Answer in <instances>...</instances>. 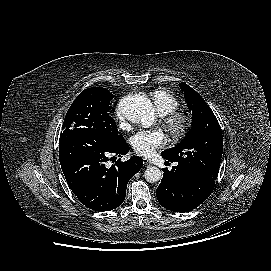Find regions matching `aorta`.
Instances as JSON below:
<instances>
[{"instance_id": "aorta-1", "label": "aorta", "mask_w": 271, "mask_h": 271, "mask_svg": "<svg viewBox=\"0 0 271 271\" xmlns=\"http://www.w3.org/2000/svg\"><path fill=\"white\" fill-rule=\"evenodd\" d=\"M125 117L135 123H140L144 127H148L155 119L154 108L145 95H132L125 100ZM144 177L147 182L155 183L162 178V172L157 167H148L145 170Z\"/></svg>"}]
</instances>
